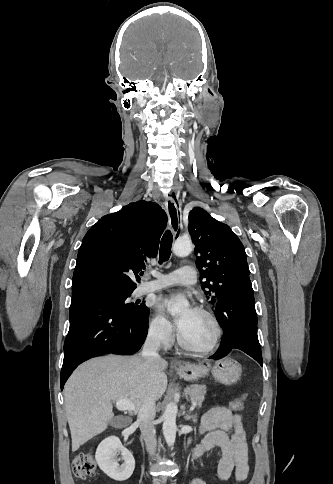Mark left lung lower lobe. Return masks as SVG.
Instances as JSON below:
<instances>
[{
  "label": "left lung lower lobe",
  "instance_id": "0a47b994",
  "mask_svg": "<svg viewBox=\"0 0 333 484\" xmlns=\"http://www.w3.org/2000/svg\"><path fill=\"white\" fill-rule=\"evenodd\" d=\"M215 315L224 335L220 347L210 358L219 360L233 349H240L262 366L254 293L249 277L235 281L223 290Z\"/></svg>",
  "mask_w": 333,
  "mask_h": 484
}]
</instances>
